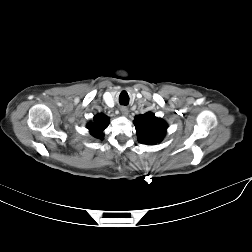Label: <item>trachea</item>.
<instances>
[{
    "mask_svg": "<svg viewBox=\"0 0 252 252\" xmlns=\"http://www.w3.org/2000/svg\"><path fill=\"white\" fill-rule=\"evenodd\" d=\"M122 105H127L128 104V100H123V101H120Z\"/></svg>",
    "mask_w": 252,
    "mask_h": 252,
    "instance_id": "trachea-1",
    "label": "trachea"
}]
</instances>
